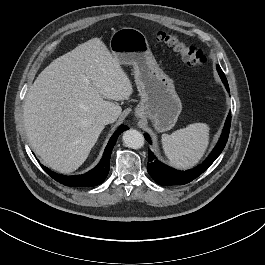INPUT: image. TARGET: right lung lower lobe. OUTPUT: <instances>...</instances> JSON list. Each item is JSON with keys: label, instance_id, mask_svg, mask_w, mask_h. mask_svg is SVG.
<instances>
[{"label": "right lung lower lobe", "instance_id": "obj_1", "mask_svg": "<svg viewBox=\"0 0 265 265\" xmlns=\"http://www.w3.org/2000/svg\"><path fill=\"white\" fill-rule=\"evenodd\" d=\"M127 126H120L119 129L114 133L111 137L110 141L108 142L106 149L104 151V155L99 162V164L92 169L91 171L76 176H65L61 174H57L52 172L50 169L44 167L42 168L45 172L51 176L57 182L71 187H92L101 184L108 175L109 172V165H110V156L112 149L116 143L117 137L125 130H127Z\"/></svg>", "mask_w": 265, "mask_h": 265}]
</instances>
